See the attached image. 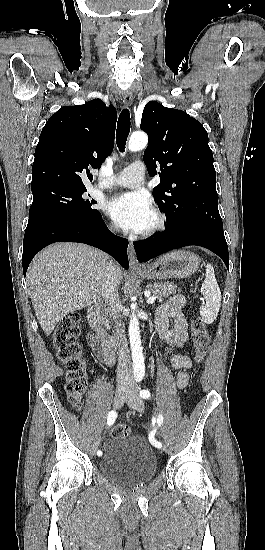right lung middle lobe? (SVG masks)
I'll list each match as a JSON object with an SVG mask.
<instances>
[{
    "mask_svg": "<svg viewBox=\"0 0 265 550\" xmlns=\"http://www.w3.org/2000/svg\"><path fill=\"white\" fill-rule=\"evenodd\" d=\"M86 189L44 186L32 189L33 203L27 228L59 219H88L100 214L92 208L95 200L85 198Z\"/></svg>",
    "mask_w": 265,
    "mask_h": 550,
    "instance_id": "dd1d6c3e",
    "label": "right lung middle lobe"
}]
</instances>
